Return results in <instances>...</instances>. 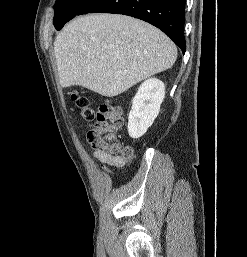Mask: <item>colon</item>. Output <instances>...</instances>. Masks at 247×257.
<instances>
[{"label":"colon","instance_id":"1","mask_svg":"<svg viewBox=\"0 0 247 257\" xmlns=\"http://www.w3.org/2000/svg\"><path fill=\"white\" fill-rule=\"evenodd\" d=\"M72 99L83 119L92 123L87 135L91 147L110 155L131 157L130 147L122 146L116 136L123 124V114L119 107L105 101L95 111L86 97L73 94Z\"/></svg>","mask_w":247,"mask_h":257}]
</instances>
